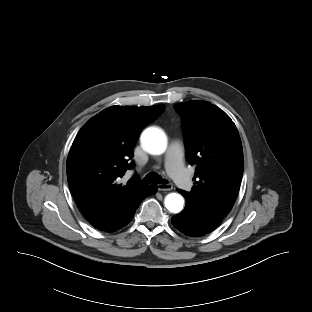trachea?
<instances>
[{
    "instance_id": "3493384b",
    "label": "trachea",
    "mask_w": 312,
    "mask_h": 312,
    "mask_svg": "<svg viewBox=\"0 0 312 312\" xmlns=\"http://www.w3.org/2000/svg\"><path fill=\"white\" fill-rule=\"evenodd\" d=\"M142 183L143 184H151V183L166 184L168 182L165 179H162L161 176H159L158 174L151 172L144 177V179L142 180Z\"/></svg>"
}]
</instances>
